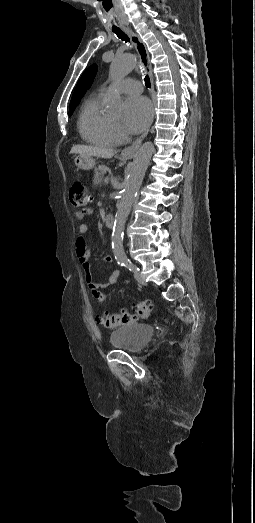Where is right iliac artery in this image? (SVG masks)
Instances as JSON below:
<instances>
[{"mask_svg": "<svg viewBox=\"0 0 255 523\" xmlns=\"http://www.w3.org/2000/svg\"><path fill=\"white\" fill-rule=\"evenodd\" d=\"M121 266H124V263H123V262L121 263Z\"/></svg>", "mask_w": 255, "mask_h": 523, "instance_id": "82829eb1", "label": "right iliac artery"}]
</instances>
